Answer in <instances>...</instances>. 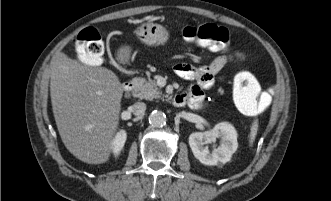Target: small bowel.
<instances>
[{"label":"small bowel","instance_id":"obj_1","mask_svg":"<svg viewBox=\"0 0 331 201\" xmlns=\"http://www.w3.org/2000/svg\"><path fill=\"white\" fill-rule=\"evenodd\" d=\"M236 57L242 59L240 53ZM230 60V57L222 55L216 57L210 64L196 67L186 63H179L174 66L175 73L186 80L195 81L187 91L179 94L183 100V105L187 104L191 108L197 109L202 105L204 91L211 88L215 82L217 74Z\"/></svg>","mask_w":331,"mask_h":201}]
</instances>
